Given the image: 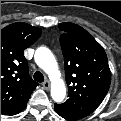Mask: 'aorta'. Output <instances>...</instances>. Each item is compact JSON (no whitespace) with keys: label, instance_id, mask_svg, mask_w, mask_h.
I'll return each instance as SVG.
<instances>
[{"label":"aorta","instance_id":"obj_1","mask_svg":"<svg viewBox=\"0 0 121 121\" xmlns=\"http://www.w3.org/2000/svg\"><path fill=\"white\" fill-rule=\"evenodd\" d=\"M36 64L43 69L52 81L51 97L56 103H61L66 97V87L60 78V72L53 53L47 47H39L35 51Z\"/></svg>","mask_w":121,"mask_h":121}]
</instances>
